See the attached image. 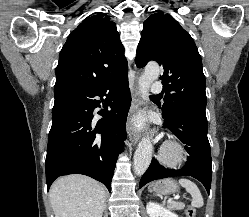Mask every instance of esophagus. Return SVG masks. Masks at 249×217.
<instances>
[{
	"instance_id": "1",
	"label": "esophagus",
	"mask_w": 249,
	"mask_h": 217,
	"mask_svg": "<svg viewBox=\"0 0 249 217\" xmlns=\"http://www.w3.org/2000/svg\"><path fill=\"white\" fill-rule=\"evenodd\" d=\"M140 106H141L140 89H139L138 84L135 83V86L133 89L132 104H131V107L128 113V119H127V133H128L129 140L133 144H136L140 138V135L136 131L135 126H134L135 115L138 113Z\"/></svg>"
}]
</instances>
